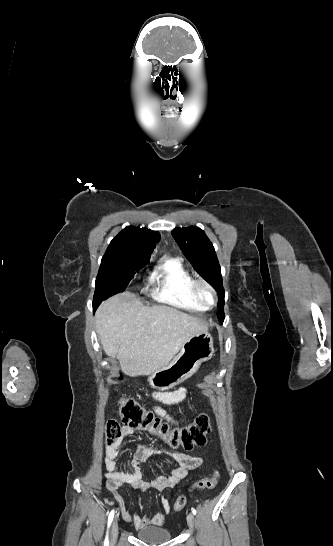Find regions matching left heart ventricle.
<instances>
[{
	"label": "left heart ventricle",
	"mask_w": 333,
	"mask_h": 546,
	"mask_svg": "<svg viewBox=\"0 0 333 546\" xmlns=\"http://www.w3.org/2000/svg\"><path fill=\"white\" fill-rule=\"evenodd\" d=\"M199 291H200L201 296H202L206 301L210 302V301L212 300V294H211V292H210L208 289H206V288H204V287H201V288L199 289Z\"/></svg>",
	"instance_id": "left-heart-ventricle-1"
}]
</instances>
